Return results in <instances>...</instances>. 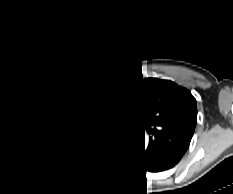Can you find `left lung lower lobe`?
<instances>
[{
    "instance_id": "1",
    "label": "left lung lower lobe",
    "mask_w": 233,
    "mask_h": 194,
    "mask_svg": "<svg viewBox=\"0 0 233 194\" xmlns=\"http://www.w3.org/2000/svg\"><path fill=\"white\" fill-rule=\"evenodd\" d=\"M134 160L136 164L145 171L149 170L152 172H160L170 169L176 165L180 158L170 156H156L142 151L139 154L134 155Z\"/></svg>"
}]
</instances>
